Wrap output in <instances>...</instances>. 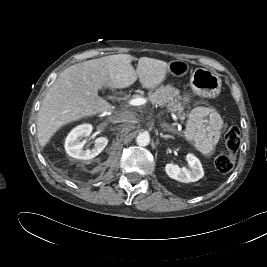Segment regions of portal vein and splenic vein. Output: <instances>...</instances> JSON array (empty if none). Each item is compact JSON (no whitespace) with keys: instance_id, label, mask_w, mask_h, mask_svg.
I'll return each mask as SVG.
<instances>
[{"instance_id":"1","label":"portal vein and splenic vein","mask_w":267,"mask_h":267,"mask_svg":"<svg viewBox=\"0 0 267 267\" xmlns=\"http://www.w3.org/2000/svg\"><path fill=\"white\" fill-rule=\"evenodd\" d=\"M145 103H146V99L142 98V97H138V98L132 99V100H130L128 102V104L132 105V106L144 105ZM171 116L175 121H178V118L174 113L171 112Z\"/></svg>"}]
</instances>
